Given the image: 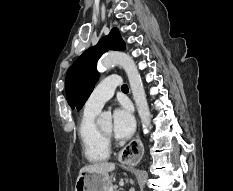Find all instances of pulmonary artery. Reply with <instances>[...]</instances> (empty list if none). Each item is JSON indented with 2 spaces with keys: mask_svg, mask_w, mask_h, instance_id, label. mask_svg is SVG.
Masks as SVG:
<instances>
[{
  "mask_svg": "<svg viewBox=\"0 0 233 191\" xmlns=\"http://www.w3.org/2000/svg\"><path fill=\"white\" fill-rule=\"evenodd\" d=\"M120 84L121 80L116 75L103 79L86 101L85 110L99 112L103 105L113 96L115 89Z\"/></svg>",
  "mask_w": 233,
  "mask_h": 191,
  "instance_id": "obj_1",
  "label": "pulmonary artery"
}]
</instances>
